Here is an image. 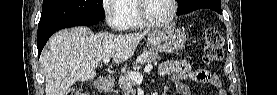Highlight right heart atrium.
<instances>
[{"label": "right heart atrium", "mask_w": 277, "mask_h": 95, "mask_svg": "<svg viewBox=\"0 0 277 95\" xmlns=\"http://www.w3.org/2000/svg\"><path fill=\"white\" fill-rule=\"evenodd\" d=\"M124 0H103L102 10L108 26L112 30H120L123 28L124 12L119 9L120 4Z\"/></svg>", "instance_id": "d8ad5b80"}]
</instances>
